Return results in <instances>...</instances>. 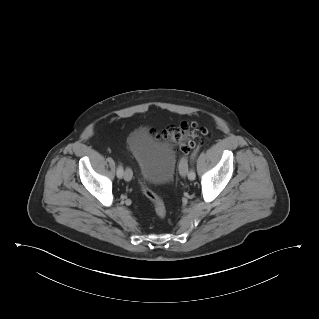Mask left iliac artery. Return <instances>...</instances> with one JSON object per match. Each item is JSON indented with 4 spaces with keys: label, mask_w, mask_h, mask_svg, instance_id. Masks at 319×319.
Segmentation results:
<instances>
[{
    "label": "left iliac artery",
    "mask_w": 319,
    "mask_h": 319,
    "mask_svg": "<svg viewBox=\"0 0 319 319\" xmlns=\"http://www.w3.org/2000/svg\"><path fill=\"white\" fill-rule=\"evenodd\" d=\"M197 153H198V149H196V150H194V152L192 153V155H191V159L192 160H194V158L197 156ZM183 160V159H182ZM182 160H181V162H182ZM181 164V163H180ZM196 178V174H195V172H194V170L193 169H190V171H189V179L190 180H194Z\"/></svg>",
    "instance_id": "44dca946"
}]
</instances>
